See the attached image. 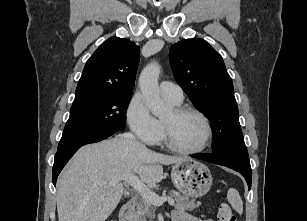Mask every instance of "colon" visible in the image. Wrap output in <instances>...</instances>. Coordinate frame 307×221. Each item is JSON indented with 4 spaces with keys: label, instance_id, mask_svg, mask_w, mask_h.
Segmentation results:
<instances>
[{
    "label": "colon",
    "instance_id": "1",
    "mask_svg": "<svg viewBox=\"0 0 307 221\" xmlns=\"http://www.w3.org/2000/svg\"><path fill=\"white\" fill-rule=\"evenodd\" d=\"M217 217L219 221H236L232 208L225 203L218 206Z\"/></svg>",
    "mask_w": 307,
    "mask_h": 221
}]
</instances>
